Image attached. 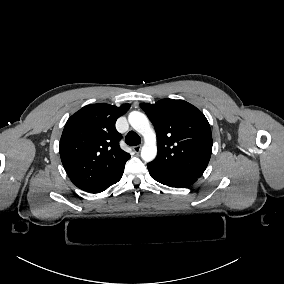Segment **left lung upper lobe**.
Wrapping results in <instances>:
<instances>
[{
  "label": "left lung upper lobe",
  "instance_id": "obj_1",
  "mask_svg": "<svg viewBox=\"0 0 284 284\" xmlns=\"http://www.w3.org/2000/svg\"><path fill=\"white\" fill-rule=\"evenodd\" d=\"M157 134L158 155L150 163L167 171L200 177L212 151V134L204 114L184 100L141 103Z\"/></svg>",
  "mask_w": 284,
  "mask_h": 284
}]
</instances>
